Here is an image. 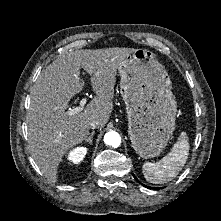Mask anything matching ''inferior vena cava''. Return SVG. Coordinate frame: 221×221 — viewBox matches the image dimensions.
<instances>
[{
    "label": "inferior vena cava",
    "mask_w": 221,
    "mask_h": 221,
    "mask_svg": "<svg viewBox=\"0 0 221 221\" xmlns=\"http://www.w3.org/2000/svg\"><path fill=\"white\" fill-rule=\"evenodd\" d=\"M99 125H100V122L98 120H93L90 123V128L95 129V128L99 127Z\"/></svg>",
    "instance_id": "inferior-vena-cava-1"
}]
</instances>
